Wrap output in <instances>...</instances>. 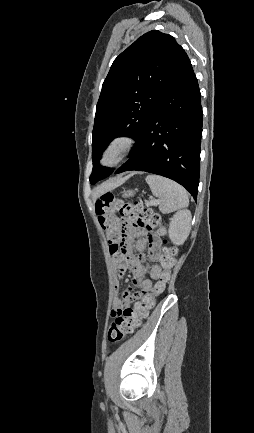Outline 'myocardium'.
<instances>
[{
    "instance_id": "f54148a6",
    "label": "myocardium",
    "mask_w": 254,
    "mask_h": 433,
    "mask_svg": "<svg viewBox=\"0 0 254 433\" xmlns=\"http://www.w3.org/2000/svg\"><path fill=\"white\" fill-rule=\"evenodd\" d=\"M136 144V139L129 135L121 134L112 137L102 150L100 164L108 168L119 165L134 151ZM112 150L117 152V156L113 162L106 163L105 157Z\"/></svg>"
}]
</instances>
